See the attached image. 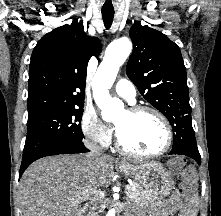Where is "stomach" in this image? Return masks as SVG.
Wrapping results in <instances>:
<instances>
[{"label": "stomach", "mask_w": 221, "mask_h": 216, "mask_svg": "<svg viewBox=\"0 0 221 216\" xmlns=\"http://www.w3.org/2000/svg\"><path fill=\"white\" fill-rule=\"evenodd\" d=\"M120 169L130 175L154 200L167 197L174 187L170 173L159 162L124 164Z\"/></svg>", "instance_id": "stomach-1"}]
</instances>
